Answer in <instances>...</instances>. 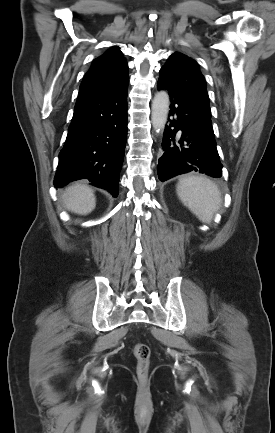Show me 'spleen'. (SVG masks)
<instances>
[{
  "label": "spleen",
  "mask_w": 275,
  "mask_h": 433,
  "mask_svg": "<svg viewBox=\"0 0 275 433\" xmlns=\"http://www.w3.org/2000/svg\"><path fill=\"white\" fill-rule=\"evenodd\" d=\"M177 194L202 222H209L221 203L218 187L203 176L182 178L177 185Z\"/></svg>",
  "instance_id": "3e777b00"
}]
</instances>
